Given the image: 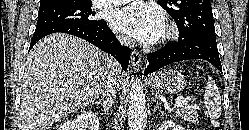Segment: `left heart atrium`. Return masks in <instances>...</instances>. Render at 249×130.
Segmentation results:
<instances>
[{
  "mask_svg": "<svg viewBox=\"0 0 249 130\" xmlns=\"http://www.w3.org/2000/svg\"><path fill=\"white\" fill-rule=\"evenodd\" d=\"M112 25L142 43L155 42L163 33L161 11L154 5L136 0L115 11Z\"/></svg>",
  "mask_w": 249,
  "mask_h": 130,
  "instance_id": "obj_1",
  "label": "left heart atrium"
}]
</instances>
